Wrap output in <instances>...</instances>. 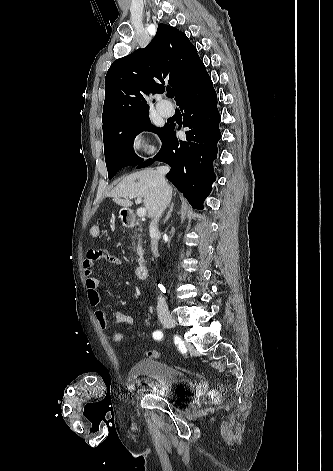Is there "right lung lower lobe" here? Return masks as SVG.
Returning <instances> with one entry per match:
<instances>
[{
    "label": "right lung lower lobe",
    "mask_w": 333,
    "mask_h": 471,
    "mask_svg": "<svg viewBox=\"0 0 333 471\" xmlns=\"http://www.w3.org/2000/svg\"><path fill=\"white\" fill-rule=\"evenodd\" d=\"M183 111V126L189 127L186 140H179L174 124H167L161 150L154 157L171 166L167 178L187 198L192 207L203 209V201L216 180L213 160L217 158L220 114L217 95L208 73L198 78L177 102ZM154 163L148 159L137 168Z\"/></svg>",
    "instance_id": "1"
}]
</instances>
